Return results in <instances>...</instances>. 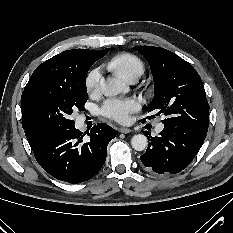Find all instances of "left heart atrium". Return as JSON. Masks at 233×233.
<instances>
[{
    "label": "left heart atrium",
    "mask_w": 233,
    "mask_h": 233,
    "mask_svg": "<svg viewBox=\"0 0 233 233\" xmlns=\"http://www.w3.org/2000/svg\"><path fill=\"white\" fill-rule=\"evenodd\" d=\"M140 102L136 99H110L104 102L101 113L118 122H127L133 112L138 111Z\"/></svg>",
    "instance_id": "1"
}]
</instances>
